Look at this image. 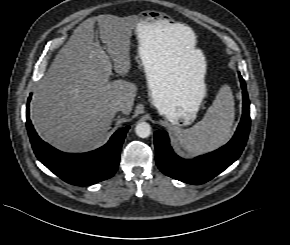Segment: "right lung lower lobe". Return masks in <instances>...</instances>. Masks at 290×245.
Returning a JSON list of instances; mask_svg holds the SVG:
<instances>
[{"label":"right lung lower lobe","instance_id":"obj_1","mask_svg":"<svg viewBox=\"0 0 290 245\" xmlns=\"http://www.w3.org/2000/svg\"><path fill=\"white\" fill-rule=\"evenodd\" d=\"M31 95L28 98L30 102ZM28 107V106H27ZM26 126L38 160L65 182L87 186L106 180L118 169L120 149L129 126L117 130L107 144L87 153H64L37 135L27 110Z\"/></svg>","mask_w":290,"mask_h":245}]
</instances>
